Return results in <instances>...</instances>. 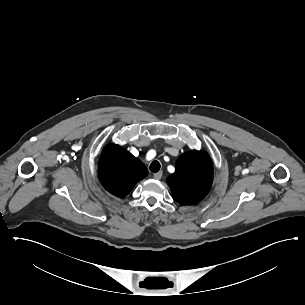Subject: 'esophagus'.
I'll return each instance as SVG.
<instances>
[{
  "instance_id": "obj_1",
  "label": "esophagus",
  "mask_w": 305,
  "mask_h": 305,
  "mask_svg": "<svg viewBox=\"0 0 305 305\" xmlns=\"http://www.w3.org/2000/svg\"><path fill=\"white\" fill-rule=\"evenodd\" d=\"M162 175H163V172H162V171H159L158 173H155V174L153 175V177H154V179L159 180V179L162 178Z\"/></svg>"
}]
</instances>
